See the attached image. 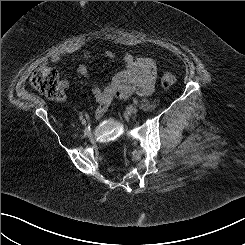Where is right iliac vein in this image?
<instances>
[{
	"instance_id": "1",
	"label": "right iliac vein",
	"mask_w": 245,
	"mask_h": 245,
	"mask_svg": "<svg viewBox=\"0 0 245 245\" xmlns=\"http://www.w3.org/2000/svg\"><path fill=\"white\" fill-rule=\"evenodd\" d=\"M81 124H82L83 126H86L87 121H86L85 119H83V120L81 121Z\"/></svg>"
}]
</instances>
